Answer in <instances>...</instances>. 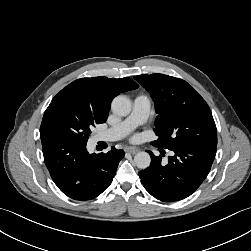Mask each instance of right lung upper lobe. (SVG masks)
I'll use <instances>...</instances> for the list:
<instances>
[{
	"instance_id": "obj_1",
	"label": "right lung upper lobe",
	"mask_w": 251,
	"mask_h": 251,
	"mask_svg": "<svg viewBox=\"0 0 251 251\" xmlns=\"http://www.w3.org/2000/svg\"><path fill=\"white\" fill-rule=\"evenodd\" d=\"M131 78H81L63 88L54 98L72 97L88 107L103 123L107 120L110 103L122 92L138 88ZM53 98V99H54Z\"/></svg>"
}]
</instances>
